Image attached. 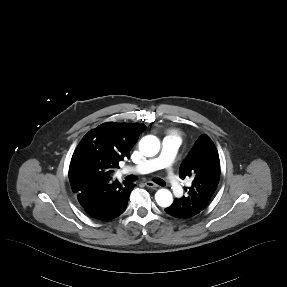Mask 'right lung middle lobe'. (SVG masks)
<instances>
[{
    "label": "right lung middle lobe",
    "mask_w": 287,
    "mask_h": 287,
    "mask_svg": "<svg viewBox=\"0 0 287 287\" xmlns=\"http://www.w3.org/2000/svg\"><path fill=\"white\" fill-rule=\"evenodd\" d=\"M111 166L103 160H84L76 164L72 176L79 181H90L97 178H108Z\"/></svg>",
    "instance_id": "right-lung-middle-lobe-1"
}]
</instances>
